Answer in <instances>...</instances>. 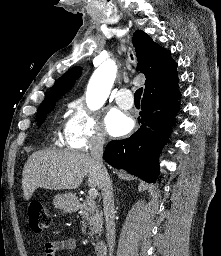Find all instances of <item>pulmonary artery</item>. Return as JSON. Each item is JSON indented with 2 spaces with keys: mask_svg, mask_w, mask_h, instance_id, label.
<instances>
[{
  "mask_svg": "<svg viewBox=\"0 0 221 256\" xmlns=\"http://www.w3.org/2000/svg\"><path fill=\"white\" fill-rule=\"evenodd\" d=\"M115 100L122 109H130L134 104L132 92L126 88H122L116 93Z\"/></svg>",
  "mask_w": 221,
  "mask_h": 256,
  "instance_id": "pulmonary-artery-1",
  "label": "pulmonary artery"
}]
</instances>
